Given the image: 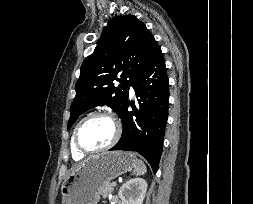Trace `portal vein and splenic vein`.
I'll list each match as a JSON object with an SVG mask.
<instances>
[{
    "mask_svg": "<svg viewBox=\"0 0 253 204\" xmlns=\"http://www.w3.org/2000/svg\"><path fill=\"white\" fill-rule=\"evenodd\" d=\"M117 183L116 182H112V186L116 187Z\"/></svg>",
    "mask_w": 253,
    "mask_h": 204,
    "instance_id": "obj_1",
    "label": "portal vein and splenic vein"
}]
</instances>
